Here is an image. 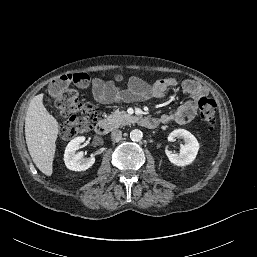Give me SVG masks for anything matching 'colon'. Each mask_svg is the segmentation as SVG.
Segmentation results:
<instances>
[{
    "label": "colon",
    "mask_w": 257,
    "mask_h": 257,
    "mask_svg": "<svg viewBox=\"0 0 257 257\" xmlns=\"http://www.w3.org/2000/svg\"><path fill=\"white\" fill-rule=\"evenodd\" d=\"M90 77L86 73L64 74L57 77L50 86V93L56 98V106L60 115L66 118L59 129L62 139L70 140L79 134L86 133L100 120L101 115L93 105H83L79 102V92L70 87L88 86ZM116 81H122L121 76ZM200 117L210 131L215 129L216 102L210 97L203 96L198 102ZM80 116H76V113Z\"/></svg>",
    "instance_id": "colon-1"
}]
</instances>
